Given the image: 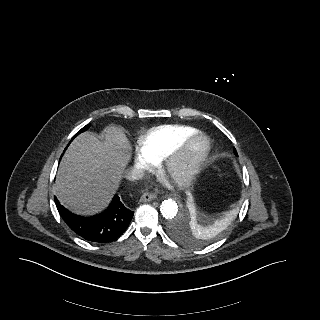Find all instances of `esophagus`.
Returning a JSON list of instances; mask_svg holds the SVG:
<instances>
[{
  "mask_svg": "<svg viewBox=\"0 0 320 320\" xmlns=\"http://www.w3.org/2000/svg\"><path fill=\"white\" fill-rule=\"evenodd\" d=\"M156 197L157 196L155 194L146 192V193L141 195L140 201L149 202V201H152V200L156 199Z\"/></svg>",
  "mask_w": 320,
  "mask_h": 320,
  "instance_id": "1",
  "label": "esophagus"
}]
</instances>
